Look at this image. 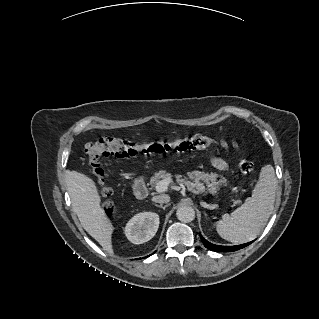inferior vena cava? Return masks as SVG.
<instances>
[{"label": "inferior vena cava", "instance_id": "obj_1", "mask_svg": "<svg viewBox=\"0 0 319 319\" xmlns=\"http://www.w3.org/2000/svg\"><path fill=\"white\" fill-rule=\"evenodd\" d=\"M152 201L156 203H160V204L168 203L170 201V197L167 194H162V195L154 196L152 198Z\"/></svg>", "mask_w": 319, "mask_h": 319}]
</instances>
